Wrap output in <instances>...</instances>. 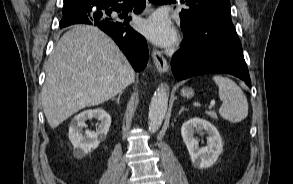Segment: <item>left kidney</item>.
Wrapping results in <instances>:
<instances>
[{
	"label": "left kidney",
	"mask_w": 293,
	"mask_h": 184,
	"mask_svg": "<svg viewBox=\"0 0 293 184\" xmlns=\"http://www.w3.org/2000/svg\"><path fill=\"white\" fill-rule=\"evenodd\" d=\"M203 129L208 134L207 145L200 148L198 140L194 138V132ZM181 135L193 166L200 169L213 166L223 151V143L218 130L205 119L195 117L187 120L181 127Z\"/></svg>",
	"instance_id": "obj_1"
}]
</instances>
